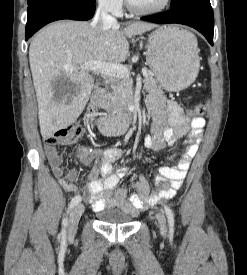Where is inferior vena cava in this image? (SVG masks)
<instances>
[{"mask_svg": "<svg viewBox=\"0 0 247 275\" xmlns=\"http://www.w3.org/2000/svg\"><path fill=\"white\" fill-rule=\"evenodd\" d=\"M116 25L117 20L115 19V17L108 14V10L103 3H99L94 19L91 23V27L102 31L110 29L111 27Z\"/></svg>", "mask_w": 247, "mask_h": 275, "instance_id": "inferior-vena-cava-1", "label": "inferior vena cava"}]
</instances>
